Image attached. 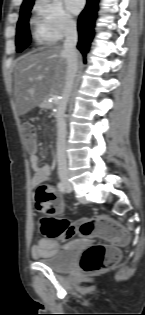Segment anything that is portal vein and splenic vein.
<instances>
[{
	"label": "portal vein and splenic vein",
	"mask_w": 145,
	"mask_h": 315,
	"mask_svg": "<svg viewBox=\"0 0 145 315\" xmlns=\"http://www.w3.org/2000/svg\"><path fill=\"white\" fill-rule=\"evenodd\" d=\"M52 99L54 100V102H58L59 97L57 95H53Z\"/></svg>",
	"instance_id": "18ae733b"
}]
</instances>
